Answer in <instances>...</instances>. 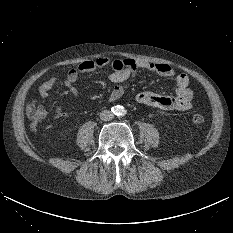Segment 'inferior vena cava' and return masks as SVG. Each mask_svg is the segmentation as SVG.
Returning a JSON list of instances; mask_svg holds the SVG:
<instances>
[{"mask_svg":"<svg viewBox=\"0 0 233 233\" xmlns=\"http://www.w3.org/2000/svg\"><path fill=\"white\" fill-rule=\"evenodd\" d=\"M114 117L113 113L109 110H104L100 113V119L102 121H109L112 120Z\"/></svg>","mask_w":233,"mask_h":233,"instance_id":"inferior-vena-cava-1","label":"inferior vena cava"}]
</instances>
